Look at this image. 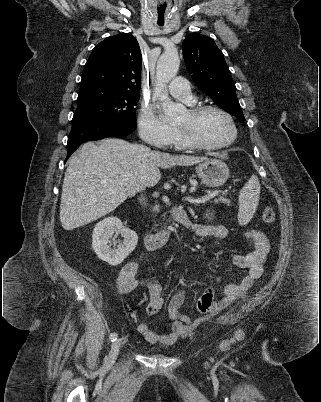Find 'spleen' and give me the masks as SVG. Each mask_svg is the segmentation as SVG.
I'll list each match as a JSON object with an SVG mask.
<instances>
[{
    "mask_svg": "<svg viewBox=\"0 0 321 402\" xmlns=\"http://www.w3.org/2000/svg\"><path fill=\"white\" fill-rule=\"evenodd\" d=\"M260 196V183L256 175H252L239 193L238 223L242 226L252 219Z\"/></svg>",
    "mask_w": 321,
    "mask_h": 402,
    "instance_id": "spleen-1",
    "label": "spleen"
}]
</instances>
